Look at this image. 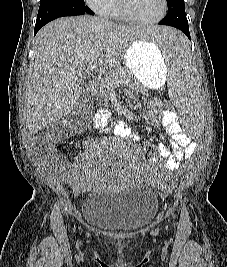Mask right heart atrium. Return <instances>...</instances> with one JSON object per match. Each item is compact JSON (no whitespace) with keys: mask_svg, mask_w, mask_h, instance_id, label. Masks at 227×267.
Masks as SVG:
<instances>
[{"mask_svg":"<svg viewBox=\"0 0 227 267\" xmlns=\"http://www.w3.org/2000/svg\"><path fill=\"white\" fill-rule=\"evenodd\" d=\"M84 2L97 14L107 16L115 0H84Z\"/></svg>","mask_w":227,"mask_h":267,"instance_id":"d8ad5b80","label":"right heart atrium"}]
</instances>
